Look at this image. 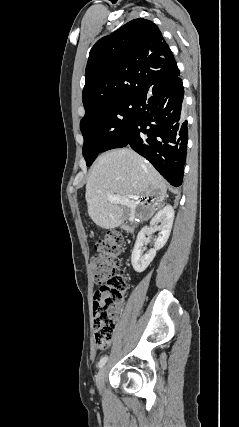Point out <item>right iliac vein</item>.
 I'll list each match as a JSON object with an SVG mask.
<instances>
[{
  "mask_svg": "<svg viewBox=\"0 0 239 427\" xmlns=\"http://www.w3.org/2000/svg\"><path fill=\"white\" fill-rule=\"evenodd\" d=\"M104 378H105V367H103L96 376V385L99 390V392L102 391L103 384H104Z\"/></svg>",
  "mask_w": 239,
  "mask_h": 427,
  "instance_id": "obj_1",
  "label": "right iliac vein"
}]
</instances>
